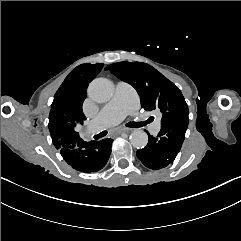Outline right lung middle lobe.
I'll list each match as a JSON object with an SVG mask.
<instances>
[{"label":"right lung middle lobe","instance_id":"obj_1","mask_svg":"<svg viewBox=\"0 0 241 241\" xmlns=\"http://www.w3.org/2000/svg\"><path fill=\"white\" fill-rule=\"evenodd\" d=\"M101 69L102 64H82L73 69L64 81L70 88H87Z\"/></svg>","mask_w":241,"mask_h":241}]
</instances>
